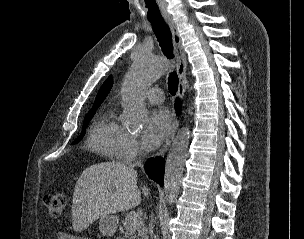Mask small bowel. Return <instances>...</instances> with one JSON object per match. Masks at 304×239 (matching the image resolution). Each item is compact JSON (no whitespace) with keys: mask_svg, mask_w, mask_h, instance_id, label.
<instances>
[{"mask_svg":"<svg viewBox=\"0 0 304 239\" xmlns=\"http://www.w3.org/2000/svg\"><path fill=\"white\" fill-rule=\"evenodd\" d=\"M57 239H75V237L69 233L66 232H59L57 234Z\"/></svg>","mask_w":304,"mask_h":239,"instance_id":"1","label":"small bowel"}]
</instances>
